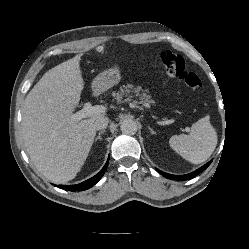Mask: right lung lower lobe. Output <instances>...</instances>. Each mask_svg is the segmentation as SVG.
I'll return each mask as SVG.
<instances>
[{
  "label": "right lung lower lobe",
  "mask_w": 249,
  "mask_h": 249,
  "mask_svg": "<svg viewBox=\"0 0 249 249\" xmlns=\"http://www.w3.org/2000/svg\"><path fill=\"white\" fill-rule=\"evenodd\" d=\"M108 166V161L106 162L105 166L102 168V170L96 174L95 176H93L92 178L77 184V185H55L57 187H59L60 189H64V190H69V191H83V190H87L89 188H91L93 185H95L104 175L106 168Z\"/></svg>",
  "instance_id": "obj_1"
}]
</instances>
